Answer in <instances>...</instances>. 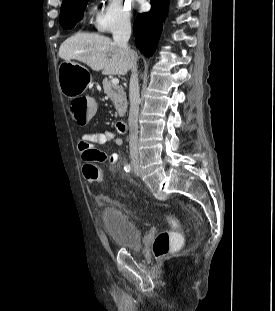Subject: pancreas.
I'll list each match as a JSON object with an SVG mask.
<instances>
[{
	"mask_svg": "<svg viewBox=\"0 0 275 311\" xmlns=\"http://www.w3.org/2000/svg\"><path fill=\"white\" fill-rule=\"evenodd\" d=\"M104 93L113 102L116 113L115 115L124 116L127 110V98L124 89L118 85L112 84V81L105 78L102 82Z\"/></svg>",
	"mask_w": 275,
	"mask_h": 311,
	"instance_id": "1",
	"label": "pancreas"
}]
</instances>
